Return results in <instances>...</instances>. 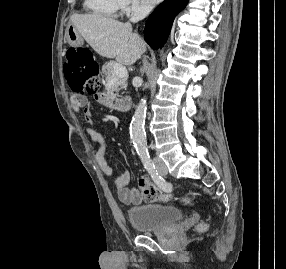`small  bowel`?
Instances as JSON below:
<instances>
[{"label": "small bowel", "mask_w": 286, "mask_h": 269, "mask_svg": "<svg viewBox=\"0 0 286 269\" xmlns=\"http://www.w3.org/2000/svg\"><path fill=\"white\" fill-rule=\"evenodd\" d=\"M100 93H109V88H100ZM118 94H93V99H118ZM99 106H107V101H99ZM71 106L75 111L82 110L84 120L87 124L86 133L90 139L97 144V150L95 152V160L102 171V173L108 177L114 178V185L118 198L125 203H138L141 201L142 196L140 192L135 188H129L130 174L128 171H116L108 162L106 158L107 154V142L105 137L93 129L91 125L94 122V112L88 105L86 97L83 93L75 92L72 95ZM164 191H169L170 187L161 188Z\"/></svg>", "instance_id": "obj_1"}]
</instances>
